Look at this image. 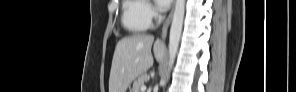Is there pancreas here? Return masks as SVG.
<instances>
[{"instance_id": "obj_1", "label": "pancreas", "mask_w": 296, "mask_h": 92, "mask_svg": "<svg viewBox=\"0 0 296 92\" xmlns=\"http://www.w3.org/2000/svg\"><path fill=\"white\" fill-rule=\"evenodd\" d=\"M148 76L147 75H141L139 76L133 83V87L131 89V92H141V86L145 84L147 81Z\"/></svg>"}]
</instances>
